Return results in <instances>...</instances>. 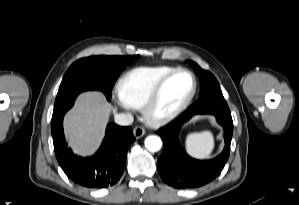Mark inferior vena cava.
Masks as SVG:
<instances>
[{"mask_svg":"<svg viewBox=\"0 0 299 205\" xmlns=\"http://www.w3.org/2000/svg\"><path fill=\"white\" fill-rule=\"evenodd\" d=\"M115 122L121 126H128L133 123V116L130 113H121L114 116Z\"/></svg>","mask_w":299,"mask_h":205,"instance_id":"1","label":"inferior vena cava"}]
</instances>
